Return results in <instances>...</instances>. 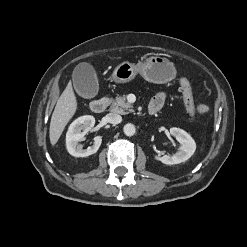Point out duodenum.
<instances>
[{"label": "duodenum", "mask_w": 247, "mask_h": 247, "mask_svg": "<svg viewBox=\"0 0 247 247\" xmlns=\"http://www.w3.org/2000/svg\"><path fill=\"white\" fill-rule=\"evenodd\" d=\"M108 104L109 99L107 97H100L90 102V109L94 113H101L107 108ZM149 113L154 114L151 110H149Z\"/></svg>", "instance_id": "obj_1"}]
</instances>
